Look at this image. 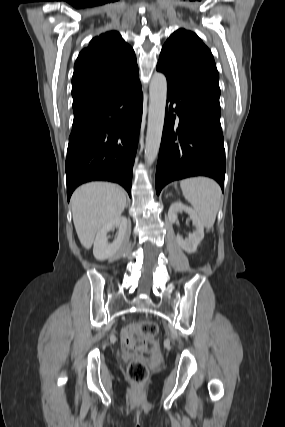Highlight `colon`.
<instances>
[{
    "label": "colon",
    "mask_w": 285,
    "mask_h": 427,
    "mask_svg": "<svg viewBox=\"0 0 285 427\" xmlns=\"http://www.w3.org/2000/svg\"><path fill=\"white\" fill-rule=\"evenodd\" d=\"M158 326L152 321H139L126 326L122 332V341L126 348L139 355L152 354L158 351L156 335ZM130 381L137 386L142 385L148 377V368L144 360L137 356L127 368Z\"/></svg>",
    "instance_id": "5ec220e1"
}]
</instances>
